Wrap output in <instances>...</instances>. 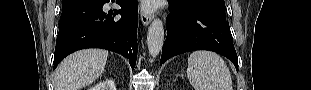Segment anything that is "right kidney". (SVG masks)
Returning a JSON list of instances; mask_svg holds the SVG:
<instances>
[{
  "label": "right kidney",
  "instance_id": "1",
  "mask_svg": "<svg viewBox=\"0 0 311 90\" xmlns=\"http://www.w3.org/2000/svg\"><path fill=\"white\" fill-rule=\"evenodd\" d=\"M107 89L116 90L113 80H106L104 82H100L99 84L93 86L89 90H107Z\"/></svg>",
  "mask_w": 311,
  "mask_h": 90
}]
</instances>
